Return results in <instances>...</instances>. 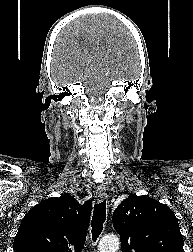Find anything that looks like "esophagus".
<instances>
[{
	"label": "esophagus",
	"instance_id": "obj_1",
	"mask_svg": "<svg viewBox=\"0 0 193 252\" xmlns=\"http://www.w3.org/2000/svg\"><path fill=\"white\" fill-rule=\"evenodd\" d=\"M96 198L99 202H102L107 198V192L104 185H99L97 187Z\"/></svg>",
	"mask_w": 193,
	"mask_h": 252
}]
</instances>
